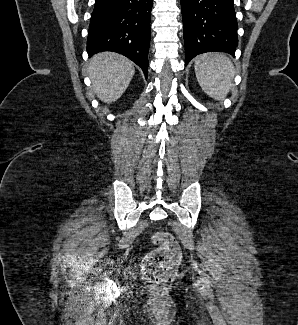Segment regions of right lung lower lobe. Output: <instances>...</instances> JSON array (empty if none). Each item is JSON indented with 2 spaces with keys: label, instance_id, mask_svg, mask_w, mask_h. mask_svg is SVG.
Segmentation results:
<instances>
[{
  "label": "right lung lower lobe",
  "instance_id": "1",
  "mask_svg": "<svg viewBox=\"0 0 298 325\" xmlns=\"http://www.w3.org/2000/svg\"><path fill=\"white\" fill-rule=\"evenodd\" d=\"M153 0H96L87 52L114 51L131 59L147 77Z\"/></svg>",
  "mask_w": 298,
  "mask_h": 325
}]
</instances>
